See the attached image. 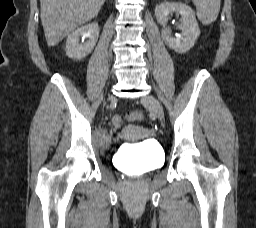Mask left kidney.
<instances>
[{
    "instance_id": "1",
    "label": "left kidney",
    "mask_w": 256,
    "mask_h": 228,
    "mask_svg": "<svg viewBox=\"0 0 256 228\" xmlns=\"http://www.w3.org/2000/svg\"><path fill=\"white\" fill-rule=\"evenodd\" d=\"M173 12L180 14L182 17L181 25L179 26L182 33L176 38L165 27L169 14ZM155 16L158 23L164 27L162 30V39L169 48L178 53H185L194 46L200 35V29L191 7L182 3L164 2L156 6Z\"/></svg>"
}]
</instances>
